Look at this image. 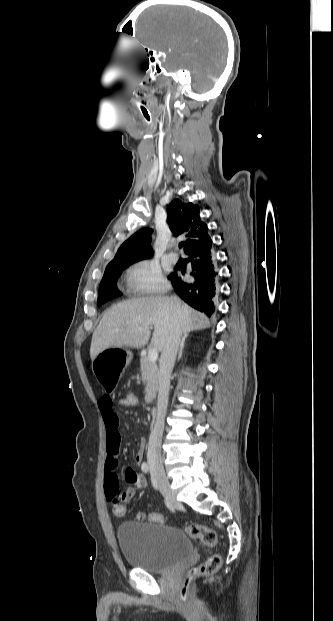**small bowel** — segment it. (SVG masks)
Instances as JSON below:
<instances>
[{"mask_svg":"<svg viewBox=\"0 0 333 621\" xmlns=\"http://www.w3.org/2000/svg\"><path fill=\"white\" fill-rule=\"evenodd\" d=\"M121 404V400L119 401ZM99 409L107 434V457L105 461L104 484L107 499L112 508L117 505L123 506L136 493L146 486L145 478L135 469H126L124 479L128 486L125 489L119 487V477L115 472L118 466V454L120 449L121 435L119 431V418L113 410L112 398L104 395L99 400ZM144 454V440L140 439L139 448L135 454V462L140 465Z\"/></svg>","mask_w":333,"mask_h":621,"instance_id":"small-bowel-1","label":"small bowel"}]
</instances>
